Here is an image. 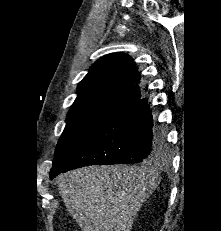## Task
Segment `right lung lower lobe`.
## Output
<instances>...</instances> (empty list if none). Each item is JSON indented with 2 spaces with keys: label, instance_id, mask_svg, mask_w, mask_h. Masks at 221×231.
Instances as JSON below:
<instances>
[{
  "label": "right lung lower lobe",
  "instance_id": "98d812e1",
  "mask_svg": "<svg viewBox=\"0 0 221 231\" xmlns=\"http://www.w3.org/2000/svg\"><path fill=\"white\" fill-rule=\"evenodd\" d=\"M165 138L153 125L147 100L139 98L110 118L94 138L50 178L66 171L95 164L140 163L158 158Z\"/></svg>",
  "mask_w": 221,
  "mask_h": 231
}]
</instances>
